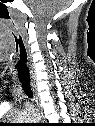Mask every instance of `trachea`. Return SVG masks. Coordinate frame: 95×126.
<instances>
[{"label": "trachea", "mask_w": 95, "mask_h": 126, "mask_svg": "<svg viewBox=\"0 0 95 126\" xmlns=\"http://www.w3.org/2000/svg\"><path fill=\"white\" fill-rule=\"evenodd\" d=\"M18 69V77L22 84V88L25 92V94L29 97H33V93L30 87V75H29V68L27 66V57L25 58L23 56L20 57V60L17 64Z\"/></svg>", "instance_id": "1"}]
</instances>
